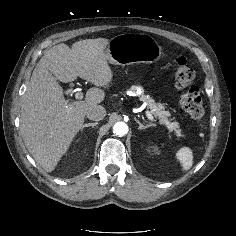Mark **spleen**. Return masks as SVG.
Returning <instances> with one entry per match:
<instances>
[{
    "instance_id": "1",
    "label": "spleen",
    "mask_w": 236,
    "mask_h": 236,
    "mask_svg": "<svg viewBox=\"0 0 236 236\" xmlns=\"http://www.w3.org/2000/svg\"><path fill=\"white\" fill-rule=\"evenodd\" d=\"M178 158L181 162L183 170L187 171L192 167L193 164V154L190 148L184 147L179 150Z\"/></svg>"
}]
</instances>
